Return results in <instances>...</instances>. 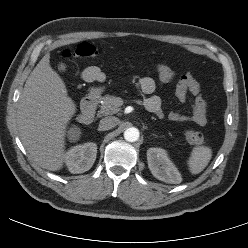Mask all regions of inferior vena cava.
<instances>
[{"instance_id": "inferior-vena-cava-1", "label": "inferior vena cava", "mask_w": 248, "mask_h": 248, "mask_svg": "<svg viewBox=\"0 0 248 248\" xmlns=\"http://www.w3.org/2000/svg\"><path fill=\"white\" fill-rule=\"evenodd\" d=\"M119 123V119L113 116H108L100 120L99 130L105 131L114 128Z\"/></svg>"}]
</instances>
